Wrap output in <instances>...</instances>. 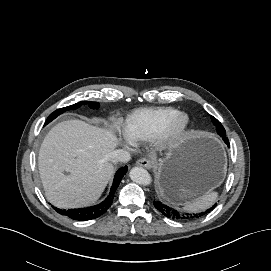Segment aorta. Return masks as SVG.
Instances as JSON below:
<instances>
[{"mask_svg":"<svg viewBox=\"0 0 271 271\" xmlns=\"http://www.w3.org/2000/svg\"><path fill=\"white\" fill-rule=\"evenodd\" d=\"M129 176L131 180L140 185H149L152 178L147 170L142 167H133L130 170Z\"/></svg>","mask_w":271,"mask_h":271,"instance_id":"1","label":"aorta"}]
</instances>
